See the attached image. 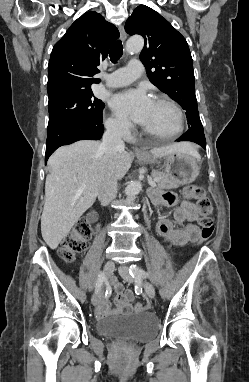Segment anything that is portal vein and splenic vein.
Masks as SVG:
<instances>
[{"label":"portal vein and splenic vein","mask_w":249,"mask_h":382,"mask_svg":"<svg viewBox=\"0 0 249 382\" xmlns=\"http://www.w3.org/2000/svg\"><path fill=\"white\" fill-rule=\"evenodd\" d=\"M159 181V178H153V179H150L149 180V185L151 186V187H156V182H158Z\"/></svg>","instance_id":"18ae733b"}]
</instances>
